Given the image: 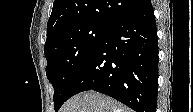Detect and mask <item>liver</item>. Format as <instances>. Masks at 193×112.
Instances as JSON below:
<instances>
[{"label":"liver","instance_id":"1","mask_svg":"<svg viewBox=\"0 0 193 112\" xmlns=\"http://www.w3.org/2000/svg\"><path fill=\"white\" fill-rule=\"evenodd\" d=\"M61 112H132L114 99L95 91L79 93L70 98Z\"/></svg>","mask_w":193,"mask_h":112}]
</instances>
